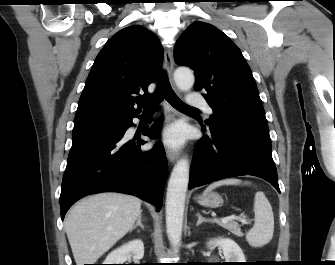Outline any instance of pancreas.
Masks as SVG:
<instances>
[{"mask_svg":"<svg viewBox=\"0 0 335 265\" xmlns=\"http://www.w3.org/2000/svg\"><path fill=\"white\" fill-rule=\"evenodd\" d=\"M221 226L227 230H229L231 233L238 237H242L243 233L241 232V228L239 224L236 221H229L227 223H222Z\"/></svg>","mask_w":335,"mask_h":265,"instance_id":"pancreas-1","label":"pancreas"}]
</instances>
